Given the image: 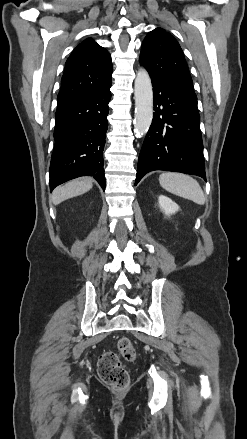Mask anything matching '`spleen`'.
<instances>
[{
    "mask_svg": "<svg viewBox=\"0 0 247 439\" xmlns=\"http://www.w3.org/2000/svg\"><path fill=\"white\" fill-rule=\"evenodd\" d=\"M160 185L170 193L186 198L198 205L205 203L204 193L199 183L182 173L166 172L159 176Z\"/></svg>",
    "mask_w": 247,
    "mask_h": 439,
    "instance_id": "obj_1",
    "label": "spleen"
}]
</instances>
